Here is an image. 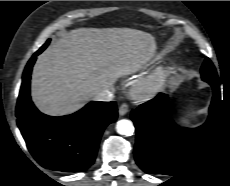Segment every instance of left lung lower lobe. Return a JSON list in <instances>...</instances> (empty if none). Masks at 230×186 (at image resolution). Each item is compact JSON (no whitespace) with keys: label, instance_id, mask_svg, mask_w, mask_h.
Returning a JSON list of instances; mask_svg holds the SVG:
<instances>
[{"label":"left lung lower lobe","instance_id":"obj_1","mask_svg":"<svg viewBox=\"0 0 230 186\" xmlns=\"http://www.w3.org/2000/svg\"><path fill=\"white\" fill-rule=\"evenodd\" d=\"M208 83L214 93L209 117L198 128H181L173 122L165 94L132 110L131 119L137 132L135 160L144 172L173 175L204 146L221 112L219 82Z\"/></svg>","mask_w":230,"mask_h":186}]
</instances>
